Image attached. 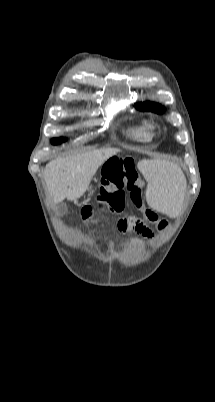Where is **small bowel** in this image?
I'll return each mask as SVG.
<instances>
[{"label": "small bowel", "instance_id": "1", "mask_svg": "<svg viewBox=\"0 0 215 402\" xmlns=\"http://www.w3.org/2000/svg\"><path fill=\"white\" fill-rule=\"evenodd\" d=\"M131 230L136 231L138 234H140L145 239H153L155 237L152 230H150L148 227L144 226L141 221H138L136 228H134V229L128 228L126 230H121V231L128 232ZM119 244H120V246H125V247H129L131 249H134V248H138L142 244V240L135 238V239H132L127 242H120Z\"/></svg>", "mask_w": 215, "mask_h": 402}]
</instances>
